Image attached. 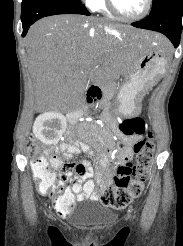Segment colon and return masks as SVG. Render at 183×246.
<instances>
[{
	"instance_id": "obj_1",
	"label": "colon",
	"mask_w": 183,
	"mask_h": 246,
	"mask_svg": "<svg viewBox=\"0 0 183 246\" xmlns=\"http://www.w3.org/2000/svg\"><path fill=\"white\" fill-rule=\"evenodd\" d=\"M119 129L125 135L144 134L145 121L141 117L125 118L121 121ZM154 150L155 145L152 136H148L135 144L136 163H125L118 168L112 181H104L100 197L104 206L112 209H123L142 193L144 183L149 176ZM29 153L33 173L40 191L52 194L55 189V174L49 171L48 163L37 144H30ZM54 205L57 210H64L73 206L70 199H65L60 195L55 198Z\"/></svg>"
}]
</instances>
